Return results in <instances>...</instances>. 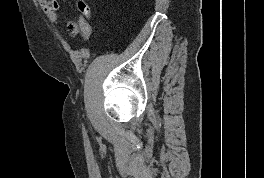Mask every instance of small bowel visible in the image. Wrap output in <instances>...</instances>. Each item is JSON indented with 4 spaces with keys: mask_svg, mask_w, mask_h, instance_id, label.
Instances as JSON below:
<instances>
[{
    "mask_svg": "<svg viewBox=\"0 0 264 178\" xmlns=\"http://www.w3.org/2000/svg\"><path fill=\"white\" fill-rule=\"evenodd\" d=\"M41 9L46 14L50 22L58 24L60 22V17L58 14L59 3L56 0H37ZM83 19L79 17L78 21H69L67 23V31L70 35L79 32L80 28L83 26Z\"/></svg>",
    "mask_w": 264,
    "mask_h": 178,
    "instance_id": "small-bowel-1",
    "label": "small bowel"
}]
</instances>
